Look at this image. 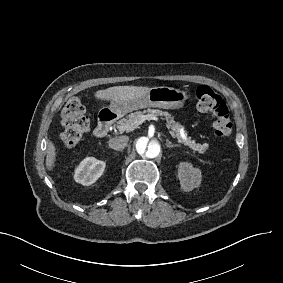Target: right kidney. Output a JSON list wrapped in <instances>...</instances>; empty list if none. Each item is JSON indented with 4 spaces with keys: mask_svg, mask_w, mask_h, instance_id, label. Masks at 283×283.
I'll return each instance as SVG.
<instances>
[{
    "mask_svg": "<svg viewBox=\"0 0 283 283\" xmlns=\"http://www.w3.org/2000/svg\"><path fill=\"white\" fill-rule=\"evenodd\" d=\"M105 162L95 158H86L76 169L74 179L82 185L93 184L104 172Z\"/></svg>",
    "mask_w": 283,
    "mask_h": 283,
    "instance_id": "1",
    "label": "right kidney"
}]
</instances>
